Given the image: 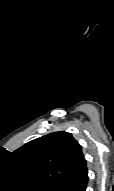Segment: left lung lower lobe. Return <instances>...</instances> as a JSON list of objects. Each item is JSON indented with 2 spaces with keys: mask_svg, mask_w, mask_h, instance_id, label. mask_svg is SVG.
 Wrapping results in <instances>:
<instances>
[{
  "mask_svg": "<svg viewBox=\"0 0 114 191\" xmlns=\"http://www.w3.org/2000/svg\"><path fill=\"white\" fill-rule=\"evenodd\" d=\"M88 182L87 167H85L80 174L68 186L66 191H86Z\"/></svg>",
  "mask_w": 114,
  "mask_h": 191,
  "instance_id": "1",
  "label": "left lung lower lobe"
}]
</instances>
